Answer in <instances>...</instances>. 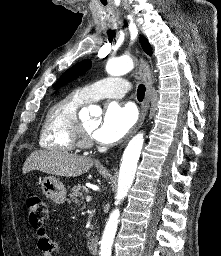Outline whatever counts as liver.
<instances>
[{"mask_svg": "<svg viewBox=\"0 0 221 256\" xmlns=\"http://www.w3.org/2000/svg\"><path fill=\"white\" fill-rule=\"evenodd\" d=\"M94 161L67 152L57 150L34 151L23 165V174L32 170L62 177H77L86 173Z\"/></svg>", "mask_w": 221, "mask_h": 256, "instance_id": "liver-1", "label": "liver"}]
</instances>
